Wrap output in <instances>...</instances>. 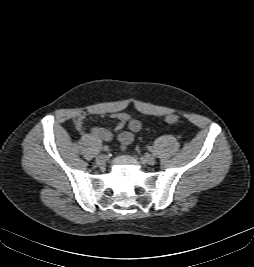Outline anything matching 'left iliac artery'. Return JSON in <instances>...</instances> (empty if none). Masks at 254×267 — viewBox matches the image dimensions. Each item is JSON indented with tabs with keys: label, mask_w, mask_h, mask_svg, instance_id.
Segmentation results:
<instances>
[{
	"label": "left iliac artery",
	"mask_w": 254,
	"mask_h": 267,
	"mask_svg": "<svg viewBox=\"0 0 254 267\" xmlns=\"http://www.w3.org/2000/svg\"><path fill=\"white\" fill-rule=\"evenodd\" d=\"M148 150H149V151H153L152 146H149V147H148Z\"/></svg>",
	"instance_id": "obj_1"
}]
</instances>
